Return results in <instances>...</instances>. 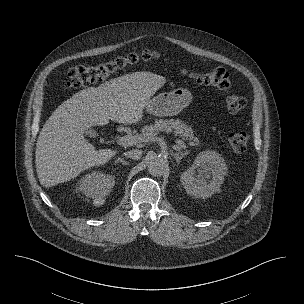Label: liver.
Here are the masks:
<instances>
[{"label": "liver", "instance_id": "1", "mask_svg": "<svg viewBox=\"0 0 304 304\" xmlns=\"http://www.w3.org/2000/svg\"><path fill=\"white\" fill-rule=\"evenodd\" d=\"M165 83L163 76L134 72L106 81L97 88L81 90L64 101L38 136L35 163L40 184L55 186L111 159L116 151H96L85 134L93 126L108 124L109 120L137 123L143 117L146 103Z\"/></svg>", "mask_w": 304, "mask_h": 304}]
</instances>
